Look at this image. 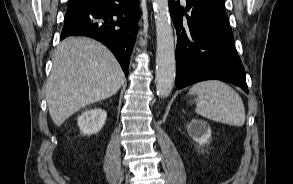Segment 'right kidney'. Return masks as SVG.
Returning a JSON list of instances; mask_svg holds the SVG:
<instances>
[{
    "instance_id": "obj_1",
    "label": "right kidney",
    "mask_w": 293,
    "mask_h": 184,
    "mask_svg": "<svg viewBox=\"0 0 293 184\" xmlns=\"http://www.w3.org/2000/svg\"><path fill=\"white\" fill-rule=\"evenodd\" d=\"M107 118V113L103 109L96 108L84 111L78 117V126L84 135L96 134L102 129Z\"/></svg>"
}]
</instances>
